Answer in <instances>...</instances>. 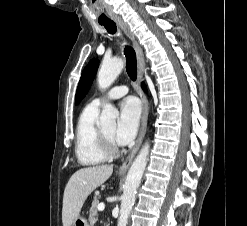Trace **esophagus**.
Masks as SVG:
<instances>
[{
  "instance_id": "obj_1",
  "label": "esophagus",
  "mask_w": 247,
  "mask_h": 226,
  "mask_svg": "<svg viewBox=\"0 0 247 226\" xmlns=\"http://www.w3.org/2000/svg\"><path fill=\"white\" fill-rule=\"evenodd\" d=\"M116 23L118 24L119 27L123 29L125 34L133 42V46H134L136 57H137V64H138V81L139 83H141L144 80V70H145V60H144L143 50L141 46L139 45L138 41L136 40L135 36L131 32L128 24L124 22L122 19H117ZM139 96H140L141 103H142V116H141V125H140L139 135L130 154L127 156L125 161L120 166L119 168L120 173H125L127 169L129 168V166L131 165L136 153L138 152L141 146V143L143 141V138L146 132L149 104H148V99L141 88H139Z\"/></svg>"
}]
</instances>
